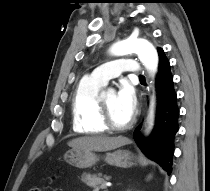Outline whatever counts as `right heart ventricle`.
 <instances>
[{
	"label": "right heart ventricle",
	"mask_w": 210,
	"mask_h": 191,
	"mask_svg": "<svg viewBox=\"0 0 210 191\" xmlns=\"http://www.w3.org/2000/svg\"><path fill=\"white\" fill-rule=\"evenodd\" d=\"M103 84L91 78L82 79L72 100L73 130L81 135H99L106 130L99 120V92Z\"/></svg>",
	"instance_id": "obj_1"
}]
</instances>
